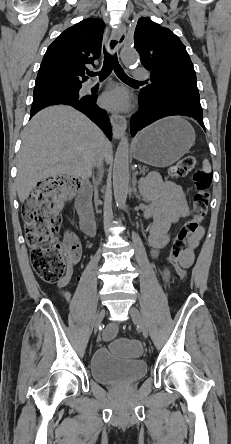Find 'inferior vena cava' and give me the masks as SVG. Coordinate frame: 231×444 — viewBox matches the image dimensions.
<instances>
[{
  "mask_svg": "<svg viewBox=\"0 0 231 444\" xmlns=\"http://www.w3.org/2000/svg\"><path fill=\"white\" fill-rule=\"evenodd\" d=\"M106 141H107V139L105 138V136H104V134L102 133V142L103 143H100V146H99V159L97 160V163H96V167L98 168V170H99V175H98V177L100 176V174H101V171H102V166H103V157H104V148H105V143H106ZM98 177L97 178H94L93 179V182H94V184H95V187L97 186V185H99V183L100 182H98ZM104 191L101 189V190H99V189H96L95 190V193L96 194H99V193H103ZM94 203H95V207H94V210L95 211H99L101 208L99 207L102 203L100 202V200H99V198H94ZM98 217L101 215L99 212L96 214ZM100 223H102L104 220L102 219V218H100L99 220H98Z\"/></svg>",
  "mask_w": 231,
  "mask_h": 444,
  "instance_id": "inferior-vena-cava-1",
  "label": "inferior vena cava"
}]
</instances>
